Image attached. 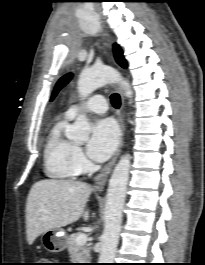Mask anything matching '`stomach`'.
Segmentation results:
<instances>
[{"label": "stomach", "mask_w": 205, "mask_h": 265, "mask_svg": "<svg viewBox=\"0 0 205 265\" xmlns=\"http://www.w3.org/2000/svg\"><path fill=\"white\" fill-rule=\"evenodd\" d=\"M41 240L49 252H61L67 247V235L62 229H52L43 233Z\"/></svg>", "instance_id": "obj_1"}]
</instances>
